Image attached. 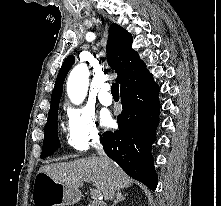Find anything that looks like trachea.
Returning <instances> with one entry per match:
<instances>
[{
  "instance_id": "1",
  "label": "trachea",
  "mask_w": 221,
  "mask_h": 206,
  "mask_svg": "<svg viewBox=\"0 0 221 206\" xmlns=\"http://www.w3.org/2000/svg\"><path fill=\"white\" fill-rule=\"evenodd\" d=\"M112 96L119 97V85L117 83H113L111 86Z\"/></svg>"
}]
</instances>
